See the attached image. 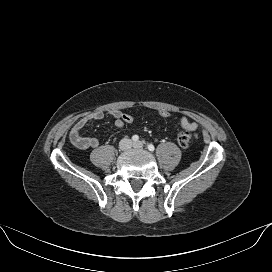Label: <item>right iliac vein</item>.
<instances>
[{"mask_svg": "<svg viewBox=\"0 0 272 272\" xmlns=\"http://www.w3.org/2000/svg\"><path fill=\"white\" fill-rule=\"evenodd\" d=\"M129 144H130V142L126 141L124 145H125V147H127Z\"/></svg>", "mask_w": 272, "mask_h": 272, "instance_id": "1", "label": "right iliac vein"}]
</instances>
